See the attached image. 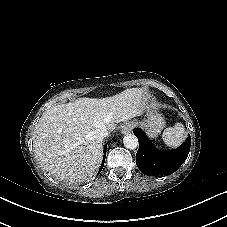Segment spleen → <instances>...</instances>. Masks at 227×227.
Wrapping results in <instances>:
<instances>
[{"mask_svg": "<svg viewBox=\"0 0 227 227\" xmlns=\"http://www.w3.org/2000/svg\"><path fill=\"white\" fill-rule=\"evenodd\" d=\"M186 138V130L182 123H176L174 127L166 128L162 139L164 143L172 148H177Z\"/></svg>", "mask_w": 227, "mask_h": 227, "instance_id": "3e777b00", "label": "spleen"}]
</instances>
